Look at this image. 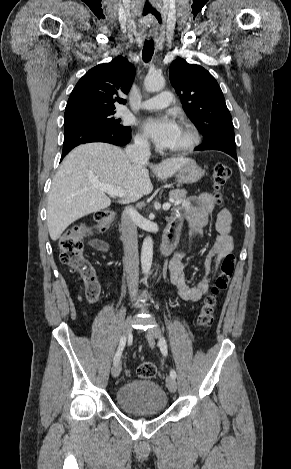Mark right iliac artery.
<instances>
[{"label": "right iliac artery", "instance_id": "obj_1", "mask_svg": "<svg viewBox=\"0 0 291 469\" xmlns=\"http://www.w3.org/2000/svg\"><path fill=\"white\" fill-rule=\"evenodd\" d=\"M125 343H126V338L124 336H122L121 339H120L118 349H117V351L115 353V356H114V363L119 361V359L121 357V354H122V351L125 347Z\"/></svg>", "mask_w": 291, "mask_h": 469}]
</instances>
